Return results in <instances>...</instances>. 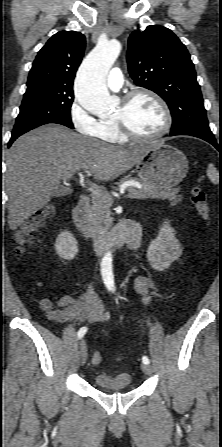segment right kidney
<instances>
[{
    "instance_id": "obj_1",
    "label": "right kidney",
    "mask_w": 222,
    "mask_h": 447,
    "mask_svg": "<svg viewBox=\"0 0 222 447\" xmlns=\"http://www.w3.org/2000/svg\"><path fill=\"white\" fill-rule=\"evenodd\" d=\"M55 250L60 258L72 260L78 253V242L69 231L61 232L56 239Z\"/></svg>"
}]
</instances>
